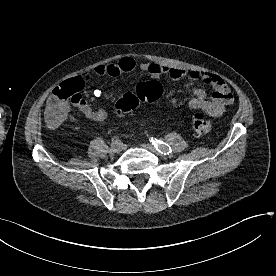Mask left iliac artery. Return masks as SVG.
Returning <instances> with one entry per match:
<instances>
[{"instance_id": "44dca946", "label": "left iliac artery", "mask_w": 276, "mask_h": 276, "mask_svg": "<svg viewBox=\"0 0 276 276\" xmlns=\"http://www.w3.org/2000/svg\"><path fill=\"white\" fill-rule=\"evenodd\" d=\"M150 142L162 154H168L169 152H171V147L161 140H157L156 138L152 137L150 139Z\"/></svg>"}]
</instances>
